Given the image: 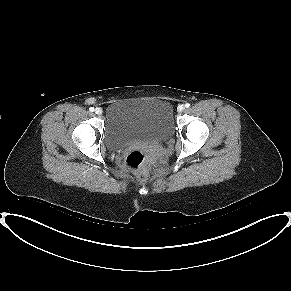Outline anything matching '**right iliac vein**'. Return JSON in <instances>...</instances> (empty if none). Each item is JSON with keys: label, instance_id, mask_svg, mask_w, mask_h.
I'll list each match as a JSON object with an SVG mask.
<instances>
[{"label": "right iliac vein", "instance_id": "obj_1", "mask_svg": "<svg viewBox=\"0 0 291 291\" xmlns=\"http://www.w3.org/2000/svg\"><path fill=\"white\" fill-rule=\"evenodd\" d=\"M95 113H96L97 115H101V114H102V110H101L100 108H96V109H95Z\"/></svg>", "mask_w": 291, "mask_h": 291}]
</instances>
